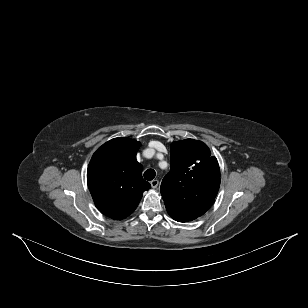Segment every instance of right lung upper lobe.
<instances>
[{
  "label": "right lung upper lobe",
  "instance_id": "1",
  "mask_svg": "<svg viewBox=\"0 0 308 308\" xmlns=\"http://www.w3.org/2000/svg\"><path fill=\"white\" fill-rule=\"evenodd\" d=\"M140 143L118 137L103 144L93 155L87 170V183L97 209L121 220L139 204L151 185L142 178V165L136 161Z\"/></svg>",
  "mask_w": 308,
  "mask_h": 308
}]
</instances>
